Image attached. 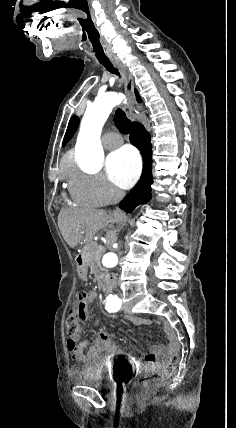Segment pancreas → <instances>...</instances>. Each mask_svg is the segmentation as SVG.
Returning a JSON list of instances; mask_svg holds the SVG:
<instances>
[{"mask_svg": "<svg viewBox=\"0 0 236 428\" xmlns=\"http://www.w3.org/2000/svg\"><path fill=\"white\" fill-rule=\"evenodd\" d=\"M82 256H84L86 264L91 266V264H100L102 252H97V248L94 244H86L83 248Z\"/></svg>", "mask_w": 236, "mask_h": 428, "instance_id": "pancreas-1", "label": "pancreas"}]
</instances>
